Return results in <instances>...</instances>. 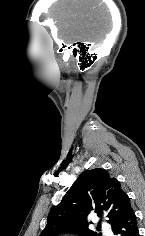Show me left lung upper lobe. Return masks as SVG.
<instances>
[{
    "label": "left lung upper lobe",
    "instance_id": "obj_1",
    "mask_svg": "<svg viewBox=\"0 0 145 236\" xmlns=\"http://www.w3.org/2000/svg\"><path fill=\"white\" fill-rule=\"evenodd\" d=\"M131 210L130 199L116 178L101 168L87 170L51 210L40 236H57L64 232L100 236L88 229L87 216L90 213H97L99 217L105 215L107 222L114 227Z\"/></svg>",
    "mask_w": 145,
    "mask_h": 236
}]
</instances>
